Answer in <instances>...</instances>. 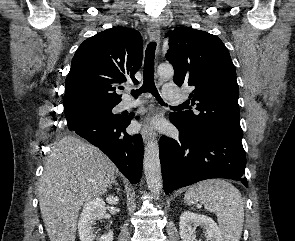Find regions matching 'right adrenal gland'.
<instances>
[{
  "instance_id": "obj_1",
  "label": "right adrenal gland",
  "mask_w": 295,
  "mask_h": 241,
  "mask_svg": "<svg viewBox=\"0 0 295 241\" xmlns=\"http://www.w3.org/2000/svg\"><path fill=\"white\" fill-rule=\"evenodd\" d=\"M112 184H114L115 186H119L118 183H117V181H116V176H115V175L112 176L111 181H110L109 184H108V188H109V189L111 188V185H112ZM118 189H119V188H118Z\"/></svg>"
}]
</instances>
